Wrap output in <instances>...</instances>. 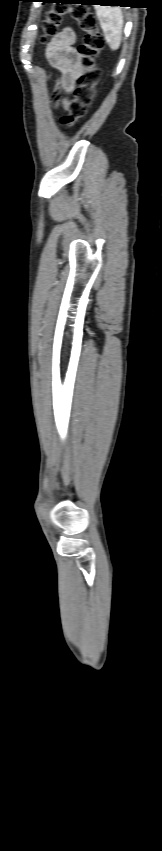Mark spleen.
<instances>
[{"label":"spleen","instance_id":"obj_1","mask_svg":"<svg viewBox=\"0 0 162 851\" xmlns=\"http://www.w3.org/2000/svg\"><path fill=\"white\" fill-rule=\"evenodd\" d=\"M96 15L104 32L107 44L117 50L121 44L123 14L119 7L96 6Z\"/></svg>","mask_w":162,"mask_h":851}]
</instances>
